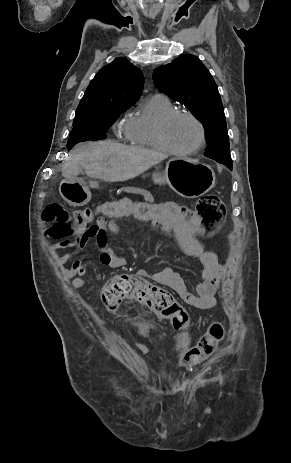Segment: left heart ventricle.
Wrapping results in <instances>:
<instances>
[{
	"mask_svg": "<svg viewBox=\"0 0 291 463\" xmlns=\"http://www.w3.org/2000/svg\"><path fill=\"white\" fill-rule=\"evenodd\" d=\"M166 135L173 147L186 150L198 143L200 131L193 120L185 116H179L170 122Z\"/></svg>",
	"mask_w": 291,
	"mask_h": 463,
	"instance_id": "left-heart-ventricle-1",
	"label": "left heart ventricle"
}]
</instances>
